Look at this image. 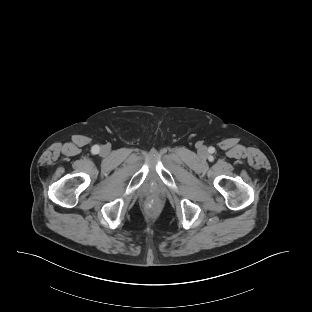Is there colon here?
Returning a JSON list of instances; mask_svg holds the SVG:
<instances>
[{
    "label": "colon",
    "instance_id": "5ec220e1",
    "mask_svg": "<svg viewBox=\"0 0 312 312\" xmlns=\"http://www.w3.org/2000/svg\"><path fill=\"white\" fill-rule=\"evenodd\" d=\"M155 207H156V205L150 204V205H148V210H149L150 212H152V211L155 209Z\"/></svg>",
    "mask_w": 312,
    "mask_h": 312
}]
</instances>
